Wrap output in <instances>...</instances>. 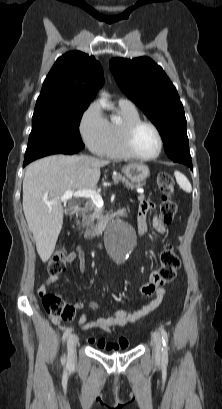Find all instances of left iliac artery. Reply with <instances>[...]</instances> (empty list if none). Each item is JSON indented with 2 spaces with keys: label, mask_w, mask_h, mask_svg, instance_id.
Wrapping results in <instances>:
<instances>
[{
  "label": "left iliac artery",
  "mask_w": 222,
  "mask_h": 409,
  "mask_svg": "<svg viewBox=\"0 0 222 409\" xmlns=\"http://www.w3.org/2000/svg\"><path fill=\"white\" fill-rule=\"evenodd\" d=\"M160 332H161V335H162V343H163L162 358L167 361V359H168V349H169L168 334H167L166 330L164 328H162V327L160 328Z\"/></svg>",
  "instance_id": "44dca946"
}]
</instances>
